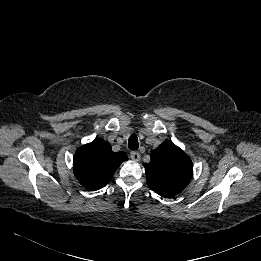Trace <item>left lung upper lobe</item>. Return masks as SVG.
<instances>
[{"mask_svg":"<svg viewBox=\"0 0 261 261\" xmlns=\"http://www.w3.org/2000/svg\"><path fill=\"white\" fill-rule=\"evenodd\" d=\"M151 161L143 164L147 183L162 197L171 198L180 193L193 174L191 159L172 142L162 143L151 153Z\"/></svg>","mask_w":261,"mask_h":261,"instance_id":"5c2ea615","label":"left lung upper lobe"}]
</instances>
